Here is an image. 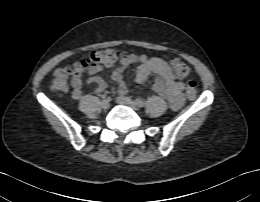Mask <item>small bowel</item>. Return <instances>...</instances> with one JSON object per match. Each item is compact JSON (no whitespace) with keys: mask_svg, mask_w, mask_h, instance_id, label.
Here are the masks:
<instances>
[{"mask_svg":"<svg viewBox=\"0 0 260 202\" xmlns=\"http://www.w3.org/2000/svg\"><path fill=\"white\" fill-rule=\"evenodd\" d=\"M139 63L136 70L135 80L137 83H143L150 75H155L156 80L151 85L150 90L168 100L174 109H179L183 102L182 92L184 83L177 81L168 63L160 57H147L146 55L137 56L135 54L124 55L120 64L111 73L112 80L117 85V91L120 95L127 93V87L123 80L122 73L130 67ZM100 67H95L86 73L73 76L74 99L82 96V84L85 80L88 84L94 85L95 92L101 93L106 89V83L95 74L100 71Z\"/></svg>","mask_w":260,"mask_h":202,"instance_id":"1","label":"small bowel"}]
</instances>
